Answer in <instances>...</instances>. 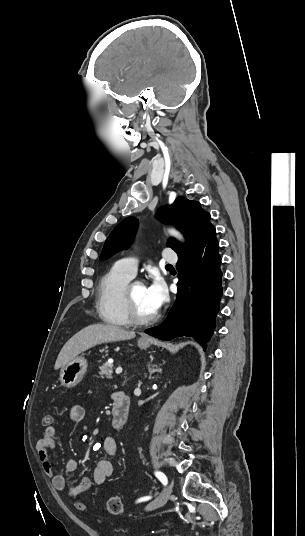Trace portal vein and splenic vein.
Segmentation results:
<instances>
[{"mask_svg":"<svg viewBox=\"0 0 305 536\" xmlns=\"http://www.w3.org/2000/svg\"><path fill=\"white\" fill-rule=\"evenodd\" d=\"M108 362H109V360H108ZM112 362H113V360H112ZM109 364H111V362H109ZM115 372H116V374H121L122 368H117V370H115Z\"/></svg>","mask_w":305,"mask_h":536,"instance_id":"1","label":"portal vein and splenic vein"}]
</instances>
